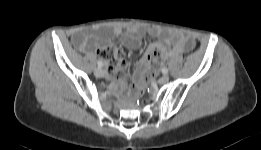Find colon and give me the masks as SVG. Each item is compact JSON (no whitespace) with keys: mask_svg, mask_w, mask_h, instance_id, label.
Here are the masks:
<instances>
[{"mask_svg":"<svg viewBox=\"0 0 261 150\" xmlns=\"http://www.w3.org/2000/svg\"><path fill=\"white\" fill-rule=\"evenodd\" d=\"M149 66L139 76L134 89H141L149 78H151L163 62L162 51L158 47H153L148 53Z\"/></svg>","mask_w":261,"mask_h":150,"instance_id":"obj_1","label":"colon"}]
</instances>
